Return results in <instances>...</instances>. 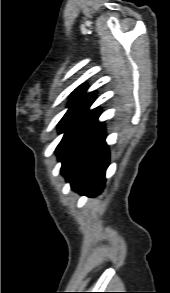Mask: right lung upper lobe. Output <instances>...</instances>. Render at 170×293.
<instances>
[{"instance_id":"obj_1","label":"right lung upper lobe","mask_w":170,"mask_h":293,"mask_svg":"<svg viewBox=\"0 0 170 293\" xmlns=\"http://www.w3.org/2000/svg\"><path fill=\"white\" fill-rule=\"evenodd\" d=\"M84 89L82 86H79L73 92V98L70 101L69 110L78 109V108H89L90 105L93 103L95 95L93 93L84 94Z\"/></svg>"}]
</instances>
